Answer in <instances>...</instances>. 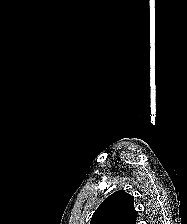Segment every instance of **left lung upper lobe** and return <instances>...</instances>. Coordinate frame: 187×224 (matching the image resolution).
<instances>
[{
  "label": "left lung upper lobe",
  "instance_id": "left-lung-upper-lobe-1",
  "mask_svg": "<svg viewBox=\"0 0 187 224\" xmlns=\"http://www.w3.org/2000/svg\"><path fill=\"white\" fill-rule=\"evenodd\" d=\"M133 197L119 190L106 198L94 212L90 224H135Z\"/></svg>",
  "mask_w": 187,
  "mask_h": 224
}]
</instances>
